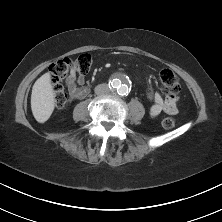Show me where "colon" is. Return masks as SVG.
<instances>
[{"label": "colon", "mask_w": 222, "mask_h": 222, "mask_svg": "<svg viewBox=\"0 0 222 222\" xmlns=\"http://www.w3.org/2000/svg\"><path fill=\"white\" fill-rule=\"evenodd\" d=\"M93 59L88 53L81 54L75 59L63 58L52 63L49 66V73L54 92L55 105L58 109H62L67 103V93L65 91L63 81L69 76L72 70L80 75L87 74L92 66ZM160 83L167 100L170 92L180 89L178 76L169 69H165L160 73ZM162 126L165 129H171L175 126V119L173 117H166L162 121Z\"/></svg>", "instance_id": "1"}]
</instances>
